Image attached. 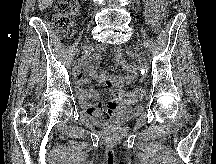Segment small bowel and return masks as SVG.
<instances>
[{"mask_svg":"<svg viewBox=\"0 0 216 164\" xmlns=\"http://www.w3.org/2000/svg\"><path fill=\"white\" fill-rule=\"evenodd\" d=\"M164 6L165 0H147L146 15L148 19L151 21H157L162 15ZM116 57L122 64V67L125 71V75L123 76H118L106 71L97 73L95 71V67L100 60L99 54L89 57L84 62L82 69H77L74 72L76 90L81 105L91 117L96 119L110 118L118 108V103L114 101L112 97L106 106L101 102L93 103L92 100L99 99V93L94 89L85 88V84L88 82V79L84 77L83 71L88 73L91 78L103 83H108L111 85V87H122L124 85L130 84L136 76L135 66L132 63L124 61L120 49L116 50Z\"/></svg>","mask_w":216,"mask_h":164,"instance_id":"small-bowel-1","label":"small bowel"}]
</instances>
